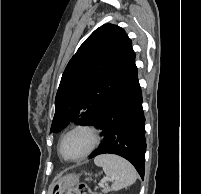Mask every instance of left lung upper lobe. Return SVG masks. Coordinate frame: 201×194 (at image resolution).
Masks as SVG:
<instances>
[{
	"label": "left lung upper lobe",
	"mask_w": 201,
	"mask_h": 194,
	"mask_svg": "<svg viewBox=\"0 0 201 194\" xmlns=\"http://www.w3.org/2000/svg\"><path fill=\"white\" fill-rule=\"evenodd\" d=\"M135 63L132 42L113 24L97 28L79 47L62 75L50 132L70 122L91 124Z\"/></svg>",
	"instance_id": "1"
}]
</instances>
